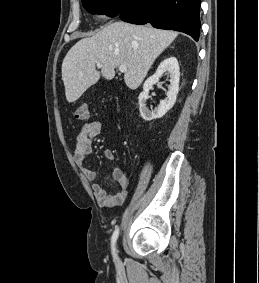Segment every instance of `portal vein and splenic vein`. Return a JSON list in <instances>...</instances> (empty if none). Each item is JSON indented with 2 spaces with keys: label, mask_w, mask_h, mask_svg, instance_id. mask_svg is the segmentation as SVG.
Segmentation results:
<instances>
[{
  "label": "portal vein and splenic vein",
  "mask_w": 259,
  "mask_h": 283,
  "mask_svg": "<svg viewBox=\"0 0 259 283\" xmlns=\"http://www.w3.org/2000/svg\"><path fill=\"white\" fill-rule=\"evenodd\" d=\"M97 67L101 68L102 67V64L100 62H97ZM119 71L121 73H125L127 71V66L126 65H121L119 66Z\"/></svg>",
  "instance_id": "obj_1"
}]
</instances>
